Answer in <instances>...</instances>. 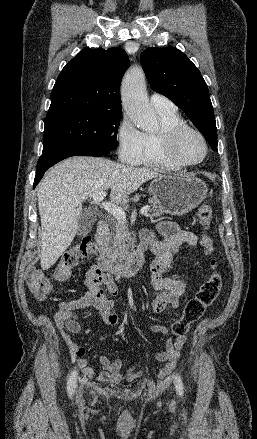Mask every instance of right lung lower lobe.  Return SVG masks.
Returning a JSON list of instances; mask_svg holds the SVG:
<instances>
[{"instance_id": "obj_1", "label": "right lung lower lobe", "mask_w": 257, "mask_h": 439, "mask_svg": "<svg viewBox=\"0 0 257 439\" xmlns=\"http://www.w3.org/2000/svg\"><path fill=\"white\" fill-rule=\"evenodd\" d=\"M110 151L98 149V148H88V147H76V148H64L56 150L50 153L42 154L37 163L36 176L34 180V188L38 182L43 177L45 171L56 164L57 162L71 156L83 155V156H105L109 154Z\"/></svg>"}]
</instances>
